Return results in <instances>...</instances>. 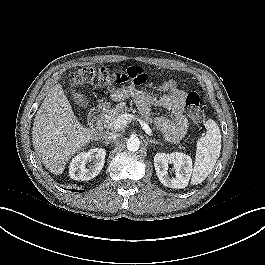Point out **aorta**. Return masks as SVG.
I'll return each mask as SVG.
<instances>
[{"mask_svg":"<svg viewBox=\"0 0 265 265\" xmlns=\"http://www.w3.org/2000/svg\"><path fill=\"white\" fill-rule=\"evenodd\" d=\"M127 149L129 151H137L140 147V140L137 137H131L127 140Z\"/></svg>","mask_w":265,"mask_h":265,"instance_id":"aorta-1","label":"aorta"}]
</instances>
